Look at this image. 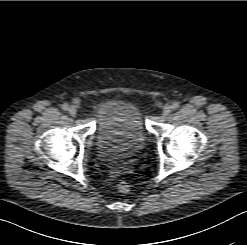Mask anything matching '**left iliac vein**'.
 Segmentation results:
<instances>
[{
	"mask_svg": "<svg viewBox=\"0 0 247 245\" xmlns=\"http://www.w3.org/2000/svg\"><path fill=\"white\" fill-rule=\"evenodd\" d=\"M172 107L168 104L163 106V115L168 116L171 113Z\"/></svg>",
	"mask_w": 247,
	"mask_h": 245,
	"instance_id": "4c4485c4",
	"label": "left iliac vein"
}]
</instances>
